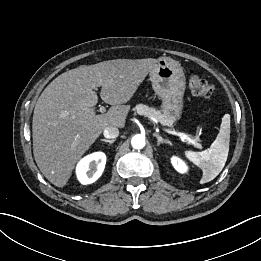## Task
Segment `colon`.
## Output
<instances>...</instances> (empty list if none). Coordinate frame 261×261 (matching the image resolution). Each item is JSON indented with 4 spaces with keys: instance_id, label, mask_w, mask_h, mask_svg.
<instances>
[{
    "instance_id": "1",
    "label": "colon",
    "mask_w": 261,
    "mask_h": 261,
    "mask_svg": "<svg viewBox=\"0 0 261 261\" xmlns=\"http://www.w3.org/2000/svg\"><path fill=\"white\" fill-rule=\"evenodd\" d=\"M189 88L194 96L206 99L211 98L215 92L213 85L195 73L190 76Z\"/></svg>"
}]
</instances>
